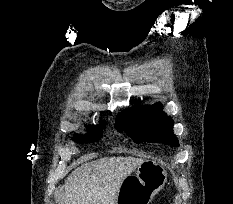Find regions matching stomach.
Returning a JSON list of instances; mask_svg holds the SVG:
<instances>
[{"label":"stomach","mask_w":233,"mask_h":204,"mask_svg":"<svg viewBox=\"0 0 233 204\" xmlns=\"http://www.w3.org/2000/svg\"><path fill=\"white\" fill-rule=\"evenodd\" d=\"M167 181L165 167L154 160H144L135 175L127 176L118 191L116 204H150Z\"/></svg>","instance_id":"stomach-1"}]
</instances>
